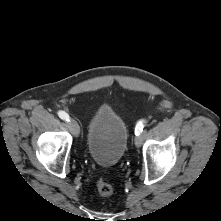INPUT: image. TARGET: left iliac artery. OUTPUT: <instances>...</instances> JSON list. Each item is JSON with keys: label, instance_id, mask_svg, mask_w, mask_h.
<instances>
[{"label": "left iliac artery", "instance_id": "left-iliac-artery-1", "mask_svg": "<svg viewBox=\"0 0 221 221\" xmlns=\"http://www.w3.org/2000/svg\"><path fill=\"white\" fill-rule=\"evenodd\" d=\"M144 123H146L145 120H142L137 123V125L135 127V135L136 136H138L143 131Z\"/></svg>", "mask_w": 221, "mask_h": 221}]
</instances>
